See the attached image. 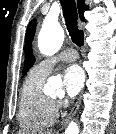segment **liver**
<instances>
[{
  "instance_id": "6515ba94",
  "label": "liver",
  "mask_w": 116,
  "mask_h": 134,
  "mask_svg": "<svg viewBox=\"0 0 116 134\" xmlns=\"http://www.w3.org/2000/svg\"><path fill=\"white\" fill-rule=\"evenodd\" d=\"M21 134V133H20ZM24 134V133H23ZM47 134H52V132L50 131V132H48Z\"/></svg>"
}]
</instances>
